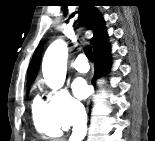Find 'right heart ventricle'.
Wrapping results in <instances>:
<instances>
[{"label": "right heart ventricle", "instance_id": "right-heart-ventricle-1", "mask_svg": "<svg viewBox=\"0 0 155 141\" xmlns=\"http://www.w3.org/2000/svg\"><path fill=\"white\" fill-rule=\"evenodd\" d=\"M32 116L36 130L49 137H56L61 134V128L54 119L48 102L36 96L32 102Z\"/></svg>", "mask_w": 155, "mask_h": 141}]
</instances>
